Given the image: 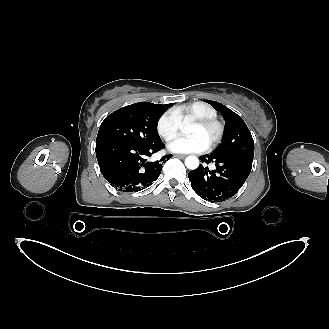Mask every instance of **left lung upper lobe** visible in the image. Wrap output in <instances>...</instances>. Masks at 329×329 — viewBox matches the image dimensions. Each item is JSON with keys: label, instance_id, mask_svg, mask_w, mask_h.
Returning a JSON list of instances; mask_svg holds the SVG:
<instances>
[{"label": "left lung upper lobe", "instance_id": "1", "mask_svg": "<svg viewBox=\"0 0 329 329\" xmlns=\"http://www.w3.org/2000/svg\"><path fill=\"white\" fill-rule=\"evenodd\" d=\"M219 111L226 123V132L222 144L213 153L216 155L238 156L253 160L254 141L243 119L225 105L204 100Z\"/></svg>", "mask_w": 329, "mask_h": 329}]
</instances>
